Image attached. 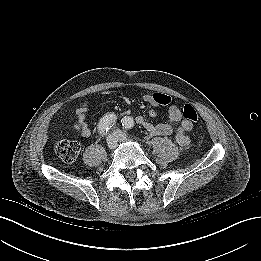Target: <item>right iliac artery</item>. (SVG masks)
Here are the masks:
<instances>
[{
  "label": "right iliac artery",
  "instance_id": "1",
  "mask_svg": "<svg viewBox=\"0 0 261 261\" xmlns=\"http://www.w3.org/2000/svg\"><path fill=\"white\" fill-rule=\"evenodd\" d=\"M116 119V115L106 114L98 123V132L100 133V135H105L109 131V129L115 124Z\"/></svg>",
  "mask_w": 261,
  "mask_h": 261
}]
</instances>
